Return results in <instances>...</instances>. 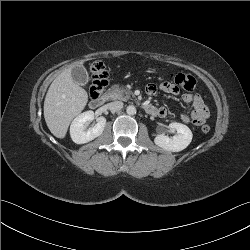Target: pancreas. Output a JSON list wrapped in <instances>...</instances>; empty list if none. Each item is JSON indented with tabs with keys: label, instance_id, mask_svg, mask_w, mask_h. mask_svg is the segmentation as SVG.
Wrapping results in <instances>:
<instances>
[{
	"label": "pancreas",
	"instance_id": "cf45deb5",
	"mask_svg": "<svg viewBox=\"0 0 250 250\" xmlns=\"http://www.w3.org/2000/svg\"><path fill=\"white\" fill-rule=\"evenodd\" d=\"M132 92L129 90H125L119 85H114L112 86L108 92L107 95L109 96L110 99L112 100H122V101H127L131 98Z\"/></svg>",
	"mask_w": 250,
	"mask_h": 250
}]
</instances>
